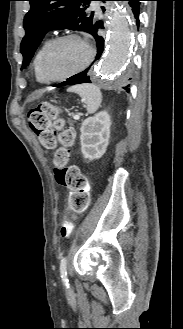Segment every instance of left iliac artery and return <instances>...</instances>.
I'll use <instances>...</instances> for the list:
<instances>
[{"instance_id":"44dca946","label":"left iliac artery","mask_w":183,"mask_h":329,"mask_svg":"<svg viewBox=\"0 0 183 329\" xmlns=\"http://www.w3.org/2000/svg\"><path fill=\"white\" fill-rule=\"evenodd\" d=\"M60 275L63 284L66 286V288H69V282L67 278V259L66 257H63L60 262Z\"/></svg>"}]
</instances>
